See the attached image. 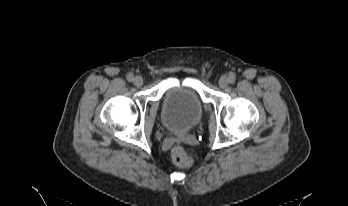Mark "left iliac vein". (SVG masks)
<instances>
[{"instance_id":"left-iliac-vein-1","label":"left iliac vein","mask_w":348,"mask_h":206,"mask_svg":"<svg viewBox=\"0 0 348 206\" xmlns=\"http://www.w3.org/2000/svg\"><path fill=\"white\" fill-rule=\"evenodd\" d=\"M219 86L221 88H226L228 86V83H229V80L227 77L225 76H222L220 79H219Z\"/></svg>"}]
</instances>
